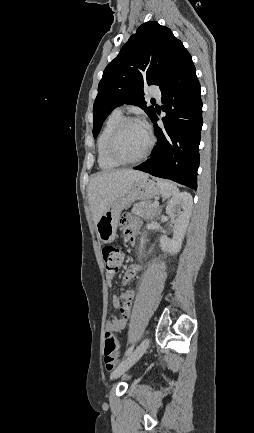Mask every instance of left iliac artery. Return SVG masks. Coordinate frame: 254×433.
I'll return each mask as SVG.
<instances>
[{
  "label": "left iliac artery",
  "mask_w": 254,
  "mask_h": 433,
  "mask_svg": "<svg viewBox=\"0 0 254 433\" xmlns=\"http://www.w3.org/2000/svg\"><path fill=\"white\" fill-rule=\"evenodd\" d=\"M133 349H134V345L130 346L125 353V357L128 356L133 351Z\"/></svg>",
  "instance_id": "obj_1"
}]
</instances>
